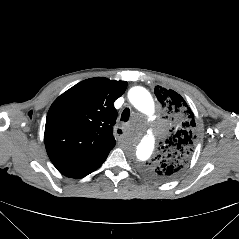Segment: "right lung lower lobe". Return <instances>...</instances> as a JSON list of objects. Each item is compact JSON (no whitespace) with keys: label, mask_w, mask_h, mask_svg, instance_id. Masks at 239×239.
Listing matches in <instances>:
<instances>
[{"label":"right lung lower lobe","mask_w":239,"mask_h":239,"mask_svg":"<svg viewBox=\"0 0 239 239\" xmlns=\"http://www.w3.org/2000/svg\"><path fill=\"white\" fill-rule=\"evenodd\" d=\"M107 156L105 158H103L102 160H100L98 163H96L94 166H92L90 169H88L87 171L79 174V175H76L75 177L73 178H82L90 173H92L93 171H95L97 168H99L102 163L106 160Z\"/></svg>","instance_id":"right-lung-lower-lobe-1"}]
</instances>
